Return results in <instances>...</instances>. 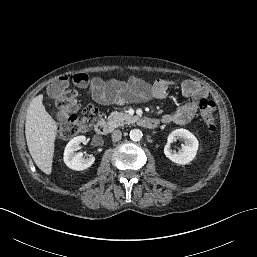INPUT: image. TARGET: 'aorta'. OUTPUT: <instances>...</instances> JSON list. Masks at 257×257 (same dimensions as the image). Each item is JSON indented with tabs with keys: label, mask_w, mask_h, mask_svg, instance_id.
Returning a JSON list of instances; mask_svg holds the SVG:
<instances>
[{
	"label": "aorta",
	"mask_w": 257,
	"mask_h": 257,
	"mask_svg": "<svg viewBox=\"0 0 257 257\" xmlns=\"http://www.w3.org/2000/svg\"><path fill=\"white\" fill-rule=\"evenodd\" d=\"M142 131L139 129H133L130 131V138L133 141H140L142 139Z\"/></svg>",
	"instance_id": "762f6f07"
}]
</instances>
